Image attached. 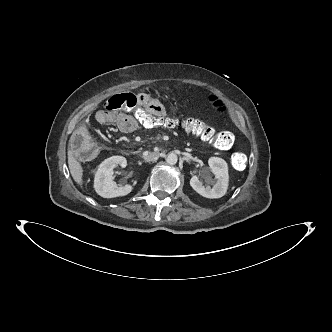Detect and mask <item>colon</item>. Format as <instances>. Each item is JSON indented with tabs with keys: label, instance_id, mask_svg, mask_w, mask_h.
<instances>
[{
	"label": "colon",
	"instance_id": "5ec220e1",
	"mask_svg": "<svg viewBox=\"0 0 332 332\" xmlns=\"http://www.w3.org/2000/svg\"><path fill=\"white\" fill-rule=\"evenodd\" d=\"M137 97L132 93H122L110 97L103 105V110L129 111L135 115L142 128L164 127L168 129L182 128L192 134L213 143L220 149L232 146L234 138L228 131H216L202 120L191 117H173L166 119L155 117L145 112L137 104ZM200 101L208 107L210 113L218 120H226L231 115V108L221 96L212 89H205L200 94ZM74 153L82 159H91L96 155L95 146L83 135L75 136L71 142ZM233 168L242 170L247 163V156L243 152H235L231 158Z\"/></svg>",
	"mask_w": 332,
	"mask_h": 332
}]
</instances>
